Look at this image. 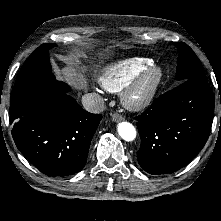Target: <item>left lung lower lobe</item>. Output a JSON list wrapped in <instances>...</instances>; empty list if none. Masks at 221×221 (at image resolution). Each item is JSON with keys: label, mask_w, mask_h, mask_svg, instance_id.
I'll return each instance as SVG.
<instances>
[{"label": "left lung lower lobe", "mask_w": 221, "mask_h": 221, "mask_svg": "<svg viewBox=\"0 0 221 221\" xmlns=\"http://www.w3.org/2000/svg\"><path fill=\"white\" fill-rule=\"evenodd\" d=\"M214 94L207 79H189L160 96L136 117L140 166L153 175L173 173L205 145L213 121Z\"/></svg>", "instance_id": "left-lung-lower-lobe-1"}]
</instances>
